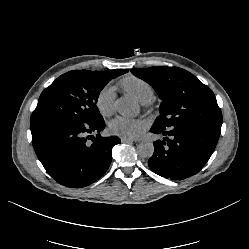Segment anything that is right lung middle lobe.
<instances>
[{"label": "right lung middle lobe", "mask_w": 249, "mask_h": 249, "mask_svg": "<svg viewBox=\"0 0 249 249\" xmlns=\"http://www.w3.org/2000/svg\"><path fill=\"white\" fill-rule=\"evenodd\" d=\"M126 69L108 71L75 70L58 77L40 95L31 121L50 118L74 120L85 124L103 121L96 106L101 90Z\"/></svg>", "instance_id": "obj_1"}]
</instances>
